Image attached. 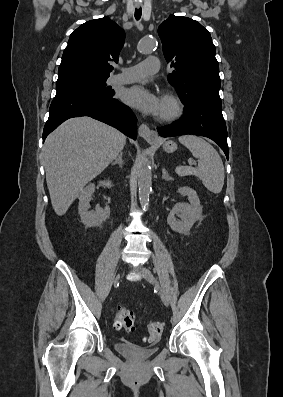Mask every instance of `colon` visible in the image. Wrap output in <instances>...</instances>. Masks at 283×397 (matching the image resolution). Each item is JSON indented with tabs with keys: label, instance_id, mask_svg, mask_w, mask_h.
<instances>
[{
	"label": "colon",
	"instance_id": "colon-1",
	"mask_svg": "<svg viewBox=\"0 0 283 397\" xmlns=\"http://www.w3.org/2000/svg\"><path fill=\"white\" fill-rule=\"evenodd\" d=\"M115 327L124 329L131 333L135 331V321L132 312L125 307H118L115 312ZM163 331V324L161 322L152 321L147 325L146 339L153 341L158 339Z\"/></svg>",
	"mask_w": 283,
	"mask_h": 397
}]
</instances>
